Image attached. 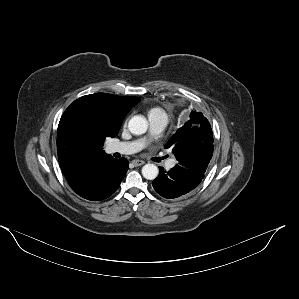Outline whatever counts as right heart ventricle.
Segmentation results:
<instances>
[{
    "mask_svg": "<svg viewBox=\"0 0 299 299\" xmlns=\"http://www.w3.org/2000/svg\"><path fill=\"white\" fill-rule=\"evenodd\" d=\"M159 112H164V111L160 107L152 106L148 109L147 114H148V117H149V116L154 115V114L159 113Z\"/></svg>",
    "mask_w": 299,
    "mask_h": 299,
    "instance_id": "obj_1",
    "label": "right heart ventricle"
}]
</instances>
